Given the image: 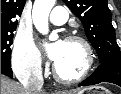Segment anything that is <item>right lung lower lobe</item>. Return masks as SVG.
<instances>
[{
    "mask_svg": "<svg viewBox=\"0 0 121 94\" xmlns=\"http://www.w3.org/2000/svg\"><path fill=\"white\" fill-rule=\"evenodd\" d=\"M1 74L8 77H13L10 61L1 60Z\"/></svg>",
    "mask_w": 121,
    "mask_h": 94,
    "instance_id": "1",
    "label": "right lung lower lobe"
}]
</instances>
